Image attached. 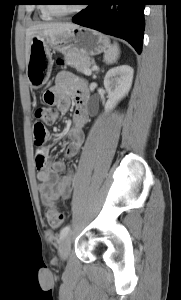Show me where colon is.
I'll list each match as a JSON object with an SVG mask.
<instances>
[{"label": "colon", "mask_w": 181, "mask_h": 300, "mask_svg": "<svg viewBox=\"0 0 181 300\" xmlns=\"http://www.w3.org/2000/svg\"><path fill=\"white\" fill-rule=\"evenodd\" d=\"M46 100V106L38 107L35 109L34 116L40 121L34 125V144L37 148V152L44 146L47 138L48 132L44 124H50L57 120L58 112L52 106L55 97L52 93L46 92L44 95ZM44 163V157L42 155H36V164L42 165ZM45 218L47 223L52 227H59L65 221V214L56 206L49 205L45 209Z\"/></svg>", "instance_id": "obj_1"}]
</instances>
